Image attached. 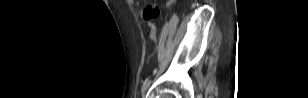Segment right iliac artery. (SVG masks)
Segmentation results:
<instances>
[{
	"mask_svg": "<svg viewBox=\"0 0 308 98\" xmlns=\"http://www.w3.org/2000/svg\"><path fill=\"white\" fill-rule=\"evenodd\" d=\"M149 85V81L146 79L142 86V91Z\"/></svg>",
	"mask_w": 308,
	"mask_h": 98,
	"instance_id": "obj_1",
	"label": "right iliac artery"
}]
</instances>
